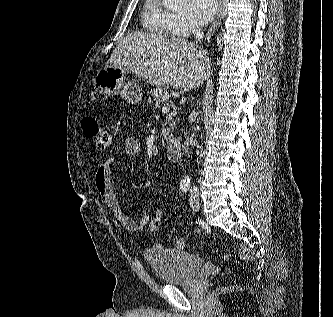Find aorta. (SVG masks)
Returning <instances> with one entry per match:
<instances>
[{
    "label": "aorta",
    "mask_w": 333,
    "mask_h": 317,
    "mask_svg": "<svg viewBox=\"0 0 333 317\" xmlns=\"http://www.w3.org/2000/svg\"><path fill=\"white\" fill-rule=\"evenodd\" d=\"M188 0H163L164 5L169 9H180L187 4ZM182 182H189L188 177H184Z\"/></svg>",
    "instance_id": "obj_1"
}]
</instances>
